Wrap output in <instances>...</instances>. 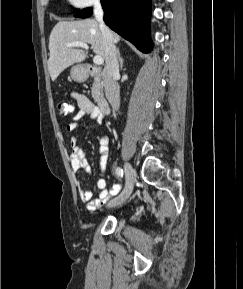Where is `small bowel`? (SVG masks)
I'll use <instances>...</instances> for the list:
<instances>
[{"mask_svg":"<svg viewBox=\"0 0 243 289\" xmlns=\"http://www.w3.org/2000/svg\"><path fill=\"white\" fill-rule=\"evenodd\" d=\"M73 98L76 100L79 107L78 112L75 114L73 121L67 124V130L69 132H75L79 128L78 121L89 117L96 120L99 124L103 122L104 116L99 112L97 107L83 94L73 93ZM97 139L99 141V154H100V171L103 175L110 152V138L105 132L98 134ZM78 138L76 136L70 139L71 152L69 155L70 166L73 172L83 170L88 176L92 174V168L86 158V155L82 149L77 145ZM97 188L99 189V195L97 198H92V192L88 188H83L80 183L77 184L78 193L82 202L86 203V208L89 211H96L101 208L109 197L116 194L121 189L119 184L113 185L111 188L107 187L106 180L101 176L97 180Z\"/></svg>","mask_w":243,"mask_h":289,"instance_id":"c3829d8e","label":"small bowel"}]
</instances>
